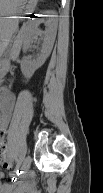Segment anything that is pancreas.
Returning <instances> with one entry per match:
<instances>
[{
	"instance_id": "obj_1",
	"label": "pancreas",
	"mask_w": 103,
	"mask_h": 193,
	"mask_svg": "<svg viewBox=\"0 0 103 193\" xmlns=\"http://www.w3.org/2000/svg\"><path fill=\"white\" fill-rule=\"evenodd\" d=\"M11 24L13 27H17L18 21H13ZM21 44H22V38H19V37L16 38L14 41V46L12 48V55H17L19 53Z\"/></svg>"
}]
</instances>
